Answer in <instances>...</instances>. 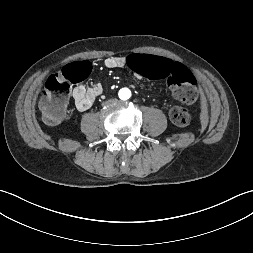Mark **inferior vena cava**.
<instances>
[{"label": "inferior vena cava", "mask_w": 253, "mask_h": 253, "mask_svg": "<svg viewBox=\"0 0 253 253\" xmlns=\"http://www.w3.org/2000/svg\"><path fill=\"white\" fill-rule=\"evenodd\" d=\"M117 102V99L115 97H112L111 99H108L107 101L106 100H103L101 102V105L103 107H106L107 105L108 106H111L112 104H115Z\"/></svg>", "instance_id": "obj_1"}]
</instances>
